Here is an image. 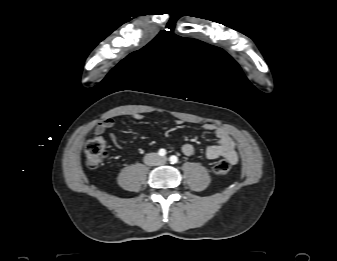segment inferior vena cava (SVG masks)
I'll return each mask as SVG.
<instances>
[{
	"label": "inferior vena cava",
	"mask_w": 337,
	"mask_h": 261,
	"mask_svg": "<svg viewBox=\"0 0 337 261\" xmlns=\"http://www.w3.org/2000/svg\"><path fill=\"white\" fill-rule=\"evenodd\" d=\"M150 155H153V156L157 157V155H156L155 153H152V154H150ZM147 164H151V165H152V164H159V163H148V162H147Z\"/></svg>",
	"instance_id": "inferior-vena-cava-1"
}]
</instances>
